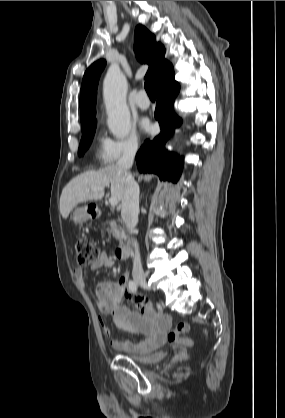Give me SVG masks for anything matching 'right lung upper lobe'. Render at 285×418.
Segmentation results:
<instances>
[{
	"instance_id": "cb5924a9",
	"label": "right lung upper lobe",
	"mask_w": 285,
	"mask_h": 418,
	"mask_svg": "<svg viewBox=\"0 0 285 418\" xmlns=\"http://www.w3.org/2000/svg\"><path fill=\"white\" fill-rule=\"evenodd\" d=\"M134 50L141 63H148L149 69L145 78H152L156 89H161L174 77L173 66L164 59L165 48L156 42L155 36L144 26L135 29ZM106 66V60L94 62L85 72L80 90V119L82 127L96 122V96L101 72Z\"/></svg>"
}]
</instances>
